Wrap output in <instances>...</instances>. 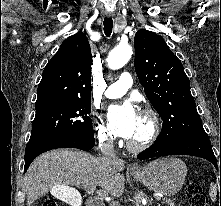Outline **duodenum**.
<instances>
[{
	"label": "duodenum",
	"mask_w": 221,
	"mask_h": 206,
	"mask_svg": "<svg viewBox=\"0 0 221 206\" xmlns=\"http://www.w3.org/2000/svg\"><path fill=\"white\" fill-rule=\"evenodd\" d=\"M86 206H104V203L97 197H90L87 200Z\"/></svg>",
	"instance_id": "1"
}]
</instances>
